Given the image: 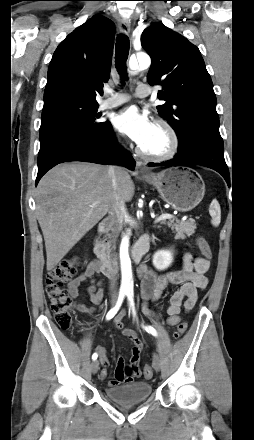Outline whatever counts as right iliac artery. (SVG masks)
I'll return each mask as SVG.
<instances>
[{
  "label": "right iliac artery",
  "instance_id": "right-iliac-artery-1",
  "mask_svg": "<svg viewBox=\"0 0 254 440\" xmlns=\"http://www.w3.org/2000/svg\"><path fill=\"white\" fill-rule=\"evenodd\" d=\"M125 295H126V293H124V292H121V293L119 294L118 301H117L115 307L112 308V309L107 313V315H106V319H107V320L112 319V318L115 316V314L118 312V310H119V308H120V306H121V304H122V302H123V300H124ZM97 357H98L97 353H94V354L92 355V359H93V360H96Z\"/></svg>",
  "mask_w": 254,
  "mask_h": 440
}]
</instances>
